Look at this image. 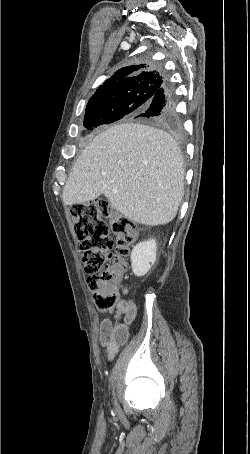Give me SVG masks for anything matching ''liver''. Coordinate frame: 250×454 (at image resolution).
<instances>
[{"label": "liver", "mask_w": 250, "mask_h": 454, "mask_svg": "<svg viewBox=\"0 0 250 454\" xmlns=\"http://www.w3.org/2000/svg\"><path fill=\"white\" fill-rule=\"evenodd\" d=\"M185 169L176 141L147 125L122 123L98 134L73 165L63 189L65 205L104 194L128 219L165 225L177 214Z\"/></svg>", "instance_id": "obj_1"}]
</instances>
